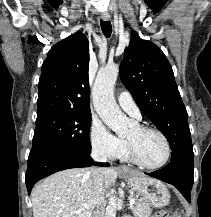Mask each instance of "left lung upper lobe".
<instances>
[{
    "label": "left lung upper lobe",
    "mask_w": 211,
    "mask_h": 217,
    "mask_svg": "<svg viewBox=\"0 0 211 217\" xmlns=\"http://www.w3.org/2000/svg\"><path fill=\"white\" fill-rule=\"evenodd\" d=\"M120 77L141 111L169 141L171 161L193 162L187 111L161 49L133 31L120 65Z\"/></svg>",
    "instance_id": "obj_1"
}]
</instances>
